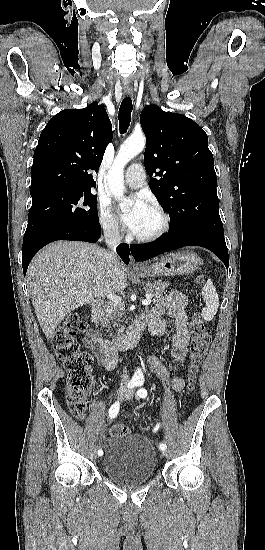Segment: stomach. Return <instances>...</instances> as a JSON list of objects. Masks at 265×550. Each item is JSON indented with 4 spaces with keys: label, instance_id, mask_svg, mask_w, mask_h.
<instances>
[{
    "label": "stomach",
    "instance_id": "obj_1",
    "mask_svg": "<svg viewBox=\"0 0 265 550\" xmlns=\"http://www.w3.org/2000/svg\"><path fill=\"white\" fill-rule=\"evenodd\" d=\"M200 264L198 255L191 251L169 253L162 256L156 263L143 267L136 271L141 277H153L156 275L175 276L193 273Z\"/></svg>",
    "mask_w": 265,
    "mask_h": 550
}]
</instances>
